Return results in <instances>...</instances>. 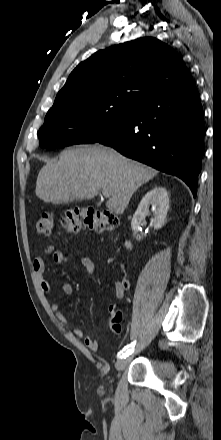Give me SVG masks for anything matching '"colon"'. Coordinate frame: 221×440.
Listing matches in <instances>:
<instances>
[{"label":"colon","instance_id":"colon-1","mask_svg":"<svg viewBox=\"0 0 221 440\" xmlns=\"http://www.w3.org/2000/svg\"><path fill=\"white\" fill-rule=\"evenodd\" d=\"M61 227L67 233H78L81 230L96 232H109L117 228L118 217L112 212H98L90 208H72L66 210L59 219ZM54 225V216L43 213L36 222L38 235L48 237L51 235ZM122 313L117 310L109 320L111 329L118 333L121 329Z\"/></svg>","mask_w":221,"mask_h":440}]
</instances>
